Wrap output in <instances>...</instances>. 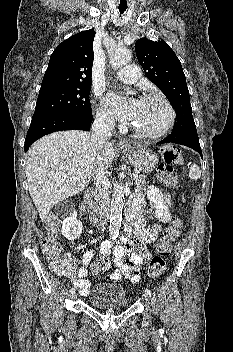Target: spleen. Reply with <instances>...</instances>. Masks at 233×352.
Here are the masks:
<instances>
[{
	"instance_id": "obj_1",
	"label": "spleen",
	"mask_w": 233,
	"mask_h": 352,
	"mask_svg": "<svg viewBox=\"0 0 233 352\" xmlns=\"http://www.w3.org/2000/svg\"><path fill=\"white\" fill-rule=\"evenodd\" d=\"M189 177L192 180H198L201 177V170L196 164H192L189 170Z\"/></svg>"
}]
</instances>
